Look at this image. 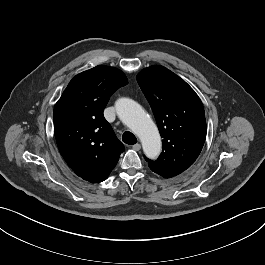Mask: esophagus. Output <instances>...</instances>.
<instances>
[{
    "label": "esophagus",
    "instance_id": "34e87169",
    "mask_svg": "<svg viewBox=\"0 0 265 265\" xmlns=\"http://www.w3.org/2000/svg\"><path fill=\"white\" fill-rule=\"evenodd\" d=\"M132 148L136 151H139L141 149V145L139 143L132 146Z\"/></svg>",
    "mask_w": 265,
    "mask_h": 265
}]
</instances>
